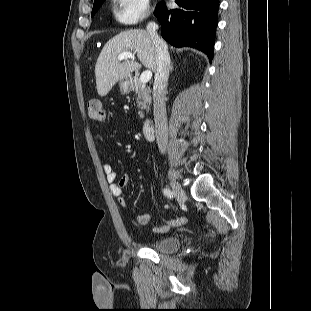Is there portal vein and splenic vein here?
I'll use <instances>...</instances> for the list:
<instances>
[{
	"instance_id": "obj_1",
	"label": "portal vein and splenic vein",
	"mask_w": 311,
	"mask_h": 311,
	"mask_svg": "<svg viewBox=\"0 0 311 311\" xmlns=\"http://www.w3.org/2000/svg\"><path fill=\"white\" fill-rule=\"evenodd\" d=\"M128 58L135 60V56L131 52H122L118 55V60L120 61L124 59H128ZM151 77H152V72L150 70L144 71L140 76V82L142 84H146L147 82L150 81Z\"/></svg>"
}]
</instances>
